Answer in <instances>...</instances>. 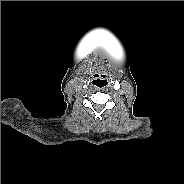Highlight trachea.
<instances>
[{"label": "trachea", "mask_w": 184, "mask_h": 184, "mask_svg": "<svg viewBox=\"0 0 184 184\" xmlns=\"http://www.w3.org/2000/svg\"><path fill=\"white\" fill-rule=\"evenodd\" d=\"M92 84L97 88H103L108 84V82L106 79L98 78V79H94L92 81Z\"/></svg>", "instance_id": "1"}]
</instances>
